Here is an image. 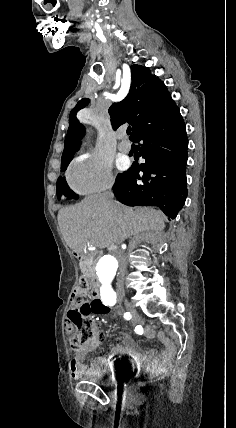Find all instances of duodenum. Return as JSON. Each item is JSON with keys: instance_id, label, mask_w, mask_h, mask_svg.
<instances>
[{"instance_id": "duodenum-1", "label": "duodenum", "mask_w": 236, "mask_h": 428, "mask_svg": "<svg viewBox=\"0 0 236 428\" xmlns=\"http://www.w3.org/2000/svg\"><path fill=\"white\" fill-rule=\"evenodd\" d=\"M76 257H77V259H78L79 263H80L81 265H84V263H85V261H86V257H85V255H83V254H81V253H77V254H76ZM91 294H92L94 297H96V298H100V297H101L102 291H101V289H100V287H99V285H98V284L93 283V284L91 285Z\"/></svg>"}]
</instances>
